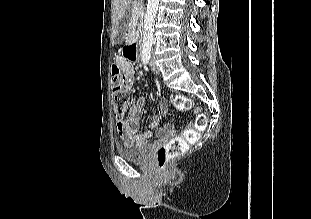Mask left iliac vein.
Segmentation results:
<instances>
[{"label":"left iliac vein","mask_w":311,"mask_h":219,"mask_svg":"<svg viewBox=\"0 0 311 219\" xmlns=\"http://www.w3.org/2000/svg\"><path fill=\"white\" fill-rule=\"evenodd\" d=\"M150 67L151 69L156 72V73H159L160 72V69L158 67V65L156 64V61H155V58L154 56L151 57V60H150Z\"/></svg>","instance_id":"left-iliac-vein-1"}]
</instances>
